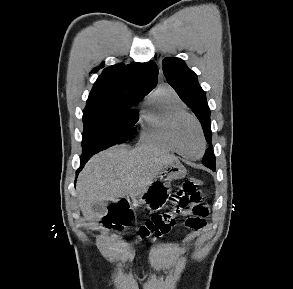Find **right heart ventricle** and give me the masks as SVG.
<instances>
[{"mask_svg":"<svg viewBox=\"0 0 293 289\" xmlns=\"http://www.w3.org/2000/svg\"><path fill=\"white\" fill-rule=\"evenodd\" d=\"M187 112L177 93L169 86L156 88L140 111V140L169 152H176L169 137L173 118Z\"/></svg>","mask_w":293,"mask_h":289,"instance_id":"1","label":"right heart ventricle"}]
</instances>
